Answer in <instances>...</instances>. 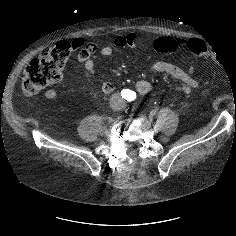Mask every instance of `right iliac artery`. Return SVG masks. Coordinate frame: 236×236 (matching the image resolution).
Listing matches in <instances>:
<instances>
[{"label": "right iliac artery", "mask_w": 236, "mask_h": 236, "mask_svg": "<svg viewBox=\"0 0 236 236\" xmlns=\"http://www.w3.org/2000/svg\"><path fill=\"white\" fill-rule=\"evenodd\" d=\"M122 93H123V94H127L128 91L124 89V90H122L121 94H122Z\"/></svg>", "instance_id": "right-iliac-artery-1"}]
</instances>
